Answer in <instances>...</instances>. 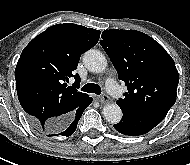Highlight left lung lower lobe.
Listing matches in <instances>:
<instances>
[{
	"label": "left lung lower lobe",
	"instance_id": "left-lung-lower-lobe-1",
	"mask_svg": "<svg viewBox=\"0 0 190 165\" xmlns=\"http://www.w3.org/2000/svg\"><path fill=\"white\" fill-rule=\"evenodd\" d=\"M123 112L122 120L114 125V128L128 136H139L146 134L157 126L164 116L131 111L120 107Z\"/></svg>",
	"mask_w": 190,
	"mask_h": 165
}]
</instances>
